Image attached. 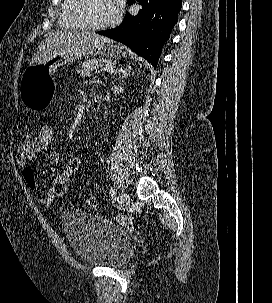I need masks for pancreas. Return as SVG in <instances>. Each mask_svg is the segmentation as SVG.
Here are the masks:
<instances>
[{"label":"pancreas","instance_id":"pancreas-1","mask_svg":"<svg viewBox=\"0 0 272 303\" xmlns=\"http://www.w3.org/2000/svg\"><path fill=\"white\" fill-rule=\"evenodd\" d=\"M107 66H115L116 64L115 63H111V62H108L106 64ZM104 66L103 63H99L97 60L95 59H92V60H86L84 61L82 64H81V69L78 71V74L81 76V77H86V76H91L92 74V71L94 70H98V69H102Z\"/></svg>","mask_w":272,"mask_h":303}]
</instances>
